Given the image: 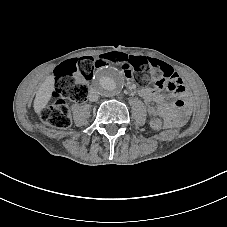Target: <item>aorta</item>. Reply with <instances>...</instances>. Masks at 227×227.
<instances>
[{"label":"aorta","mask_w":227,"mask_h":227,"mask_svg":"<svg viewBox=\"0 0 227 227\" xmlns=\"http://www.w3.org/2000/svg\"><path fill=\"white\" fill-rule=\"evenodd\" d=\"M124 78L121 71L114 66L99 68L93 79V88L104 97H113L123 88Z\"/></svg>","instance_id":"aorta-1"}]
</instances>
